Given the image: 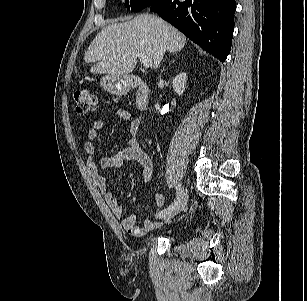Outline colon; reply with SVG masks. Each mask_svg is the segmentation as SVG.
I'll use <instances>...</instances> for the list:
<instances>
[{"instance_id":"obj_1","label":"colon","mask_w":307,"mask_h":301,"mask_svg":"<svg viewBox=\"0 0 307 301\" xmlns=\"http://www.w3.org/2000/svg\"><path fill=\"white\" fill-rule=\"evenodd\" d=\"M76 112L84 116L93 113L97 109L98 99L95 94L88 90H80L74 94Z\"/></svg>"}]
</instances>
